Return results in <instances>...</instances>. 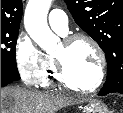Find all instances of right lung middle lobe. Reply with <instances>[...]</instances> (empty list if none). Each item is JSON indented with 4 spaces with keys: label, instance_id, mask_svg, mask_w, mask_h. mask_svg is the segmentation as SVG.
Segmentation results:
<instances>
[{
    "label": "right lung middle lobe",
    "instance_id": "1",
    "mask_svg": "<svg viewBox=\"0 0 123 113\" xmlns=\"http://www.w3.org/2000/svg\"><path fill=\"white\" fill-rule=\"evenodd\" d=\"M19 31L1 32V83L20 79L16 65V42Z\"/></svg>",
    "mask_w": 123,
    "mask_h": 113
}]
</instances>
